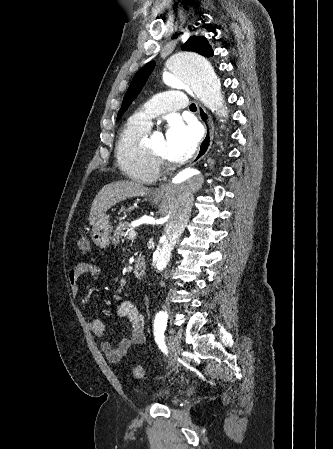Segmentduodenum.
Instances as JSON below:
<instances>
[{"mask_svg":"<svg viewBox=\"0 0 333 449\" xmlns=\"http://www.w3.org/2000/svg\"><path fill=\"white\" fill-rule=\"evenodd\" d=\"M146 271V264L145 261L141 258L136 259V261L133 264V273L134 276L137 278H141Z\"/></svg>","mask_w":333,"mask_h":449,"instance_id":"1","label":"duodenum"}]
</instances>
